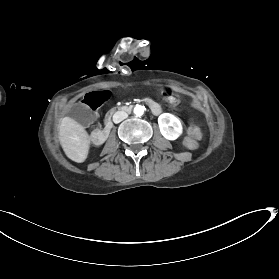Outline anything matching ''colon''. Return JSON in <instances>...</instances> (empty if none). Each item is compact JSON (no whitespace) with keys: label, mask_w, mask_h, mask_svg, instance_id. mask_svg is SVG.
<instances>
[{"label":"colon","mask_w":279,"mask_h":279,"mask_svg":"<svg viewBox=\"0 0 279 279\" xmlns=\"http://www.w3.org/2000/svg\"><path fill=\"white\" fill-rule=\"evenodd\" d=\"M189 134L194 139H199L202 135L200 128L195 125H190Z\"/></svg>","instance_id":"5ec220e1"}]
</instances>
